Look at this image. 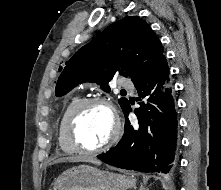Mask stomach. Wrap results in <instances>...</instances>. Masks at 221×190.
<instances>
[{"mask_svg":"<svg viewBox=\"0 0 221 190\" xmlns=\"http://www.w3.org/2000/svg\"><path fill=\"white\" fill-rule=\"evenodd\" d=\"M135 185L133 176L80 165L59 175L53 183V190H127Z\"/></svg>","mask_w":221,"mask_h":190,"instance_id":"1","label":"stomach"}]
</instances>
